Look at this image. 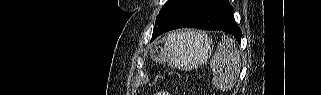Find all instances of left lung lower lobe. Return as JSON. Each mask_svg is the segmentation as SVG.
Segmentation results:
<instances>
[{"label": "left lung lower lobe", "instance_id": "left-lung-lower-lobe-1", "mask_svg": "<svg viewBox=\"0 0 321 95\" xmlns=\"http://www.w3.org/2000/svg\"><path fill=\"white\" fill-rule=\"evenodd\" d=\"M233 11L228 0H173L153 30L151 41L173 29L194 27L228 32L240 43L242 33L234 20Z\"/></svg>", "mask_w": 321, "mask_h": 95}]
</instances>
